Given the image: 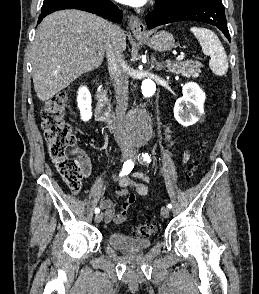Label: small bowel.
Returning a JSON list of instances; mask_svg holds the SVG:
<instances>
[{
  "label": "small bowel",
  "mask_w": 259,
  "mask_h": 294,
  "mask_svg": "<svg viewBox=\"0 0 259 294\" xmlns=\"http://www.w3.org/2000/svg\"><path fill=\"white\" fill-rule=\"evenodd\" d=\"M165 142L168 146H171V135L169 128L165 129ZM82 172L84 177H88L91 173V162L87 155L80 154ZM183 160L187 159V153L182 156ZM134 177L144 178L142 173H134ZM119 186L123 189L119 195L124 198L120 204V209L117 210V202L112 199H102L100 206L104 210V219L106 223L121 224L128 219L129 208L135 202L136 196L147 197L149 195V189L143 180H135L130 177H123L118 180Z\"/></svg>",
  "instance_id": "obj_1"
}]
</instances>
